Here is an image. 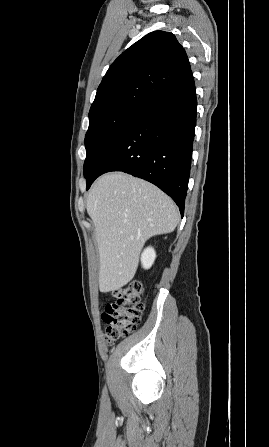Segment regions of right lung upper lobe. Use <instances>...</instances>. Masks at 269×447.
<instances>
[{"label":"right lung upper lobe","instance_id":"cb5924a9","mask_svg":"<svg viewBox=\"0 0 269 447\" xmlns=\"http://www.w3.org/2000/svg\"><path fill=\"white\" fill-rule=\"evenodd\" d=\"M191 70L172 33L155 31L124 51L98 87L89 119L122 106L143 105Z\"/></svg>","mask_w":269,"mask_h":447}]
</instances>
